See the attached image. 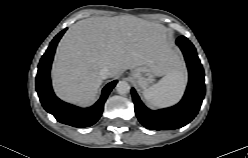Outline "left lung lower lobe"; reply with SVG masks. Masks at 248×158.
<instances>
[{
  "instance_id": "obj_1",
  "label": "left lung lower lobe",
  "mask_w": 248,
  "mask_h": 158,
  "mask_svg": "<svg viewBox=\"0 0 248 158\" xmlns=\"http://www.w3.org/2000/svg\"><path fill=\"white\" fill-rule=\"evenodd\" d=\"M176 44L184 54L189 72V82L182 100L173 107L152 111L143 105L135 90H131L136 116L148 129L167 130L185 126L197 115L205 95L204 71L195 47L184 36H180Z\"/></svg>"
}]
</instances>
